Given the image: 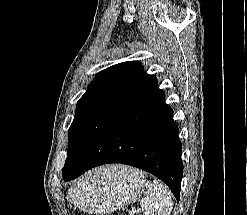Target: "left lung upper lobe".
Instances as JSON below:
<instances>
[{"label":"left lung upper lobe","instance_id":"5c2ea615","mask_svg":"<svg viewBox=\"0 0 247 215\" xmlns=\"http://www.w3.org/2000/svg\"><path fill=\"white\" fill-rule=\"evenodd\" d=\"M153 77L143 71L139 61L119 63L99 72L77 102L65 165L83 142L101 138Z\"/></svg>","mask_w":247,"mask_h":215}]
</instances>
